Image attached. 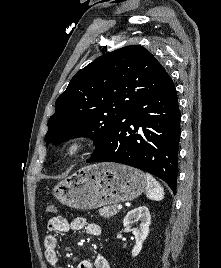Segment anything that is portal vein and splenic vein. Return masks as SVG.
<instances>
[{"instance_id": "1", "label": "portal vein and splenic vein", "mask_w": 221, "mask_h": 268, "mask_svg": "<svg viewBox=\"0 0 221 268\" xmlns=\"http://www.w3.org/2000/svg\"><path fill=\"white\" fill-rule=\"evenodd\" d=\"M122 208H123L122 205H118V206H117V209H118V210H121Z\"/></svg>"}]
</instances>
